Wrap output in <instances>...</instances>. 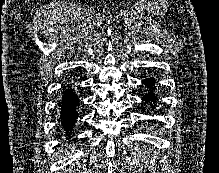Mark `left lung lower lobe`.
<instances>
[{
    "instance_id": "left-lung-lower-lobe-1",
    "label": "left lung lower lobe",
    "mask_w": 219,
    "mask_h": 173,
    "mask_svg": "<svg viewBox=\"0 0 219 173\" xmlns=\"http://www.w3.org/2000/svg\"><path fill=\"white\" fill-rule=\"evenodd\" d=\"M143 83L145 85H147L148 87L153 88V86L155 85V79L154 78H147V79L143 80ZM156 99L157 98H156L155 94L152 92L148 93L147 95H145L143 97V100L146 102H150V101L154 102Z\"/></svg>"
}]
</instances>
